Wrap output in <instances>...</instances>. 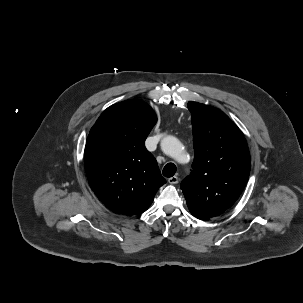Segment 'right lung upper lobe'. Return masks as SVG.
<instances>
[{
	"label": "right lung upper lobe",
	"instance_id": "1",
	"mask_svg": "<svg viewBox=\"0 0 303 303\" xmlns=\"http://www.w3.org/2000/svg\"><path fill=\"white\" fill-rule=\"evenodd\" d=\"M156 122L147 103L126 100L108 107L90 130L84 152L89 185L115 213L144 212L166 182L144 145Z\"/></svg>",
	"mask_w": 303,
	"mask_h": 303
}]
</instances>
